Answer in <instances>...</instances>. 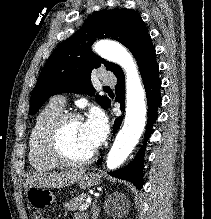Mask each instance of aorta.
Instances as JSON below:
<instances>
[{"label":"aorta","instance_id":"1","mask_svg":"<svg viewBox=\"0 0 211 219\" xmlns=\"http://www.w3.org/2000/svg\"><path fill=\"white\" fill-rule=\"evenodd\" d=\"M94 51L104 59L120 65L126 72V116L109 151L106 165L113 170L119 167L133 151L146 123L145 91L137 66L130 53L120 44L100 41Z\"/></svg>","mask_w":211,"mask_h":219}]
</instances>
